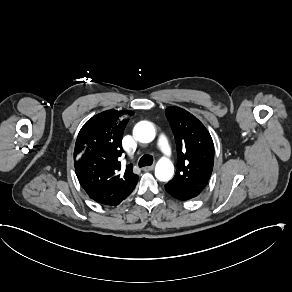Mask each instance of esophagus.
<instances>
[{
	"label": "esophagus",
	"mask_w": 292,
	"mask_h": 292,
	"mask_svg": "<svg viewBox=\"0 0 292 292\" xmlns=\"http://www.w3.org/2000/svg\"><path fill=\"white\" fill-rule=\"evenodd\" d=\"M154 169V165H151V166H145L142 168L143 171H151Z\"/></svg>",
	"instance_id": "esophagus-1"
}]
</instances>
